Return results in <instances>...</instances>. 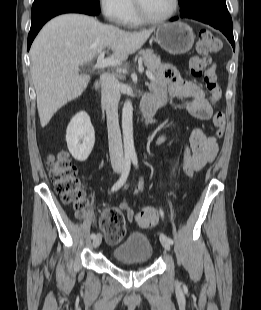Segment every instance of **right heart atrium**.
Here are the masks:
<instances>
[{
    "label": "right heart atrium",
    "mask_w": 261,
    "mask_h": 310,
    "mask_svg": "<svg viewBox=\"0 0 261 310\" xmlns=\"http://www.w3.org/2000/svg\"><path fill=\"white\" fill-rule=\"evenodd\" d=\"M132 0H98L99 7L107 20L123 24L132 9Z\"/></svg>",
    "instance_id": "obj_1"
}]
</instances>
